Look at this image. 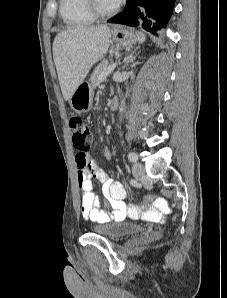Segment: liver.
<instances>
[{"instance_id":"liver-1","label":"liver","mask_w":227,"mask_h":298,"mask_svg":"<svg viewBox=\"0 0 227 298\" xmlns=\"http://www.w3.org/2000/svg\"><path fill=\"white\" fill-rule=\"evenodd\" d=\"M111 30L107 26L74 27L57 34L53 58L63 97L70 99L90 69L108 51Z\"/></svg>"}]
</instances>
